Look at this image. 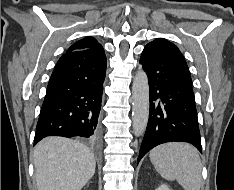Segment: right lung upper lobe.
Masks as SVG:
<instances>
[{"instance_id":"cb5924a9","label":"right lung upper lobe","mask_w":234,"mask_h":190,"mask_svg":"<svg viewBox=\"0 0 234 190\" xmlns=\"http://www.w3.org/2000/svg\"><path fill=\"white\" fill-rule=\"evenodd\" d=\"M90 48H102V46L93 37H85L69 47L65 54Z\"/></svg>"}]
</instances>
